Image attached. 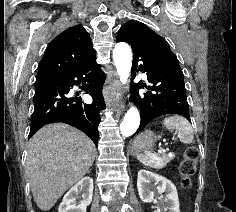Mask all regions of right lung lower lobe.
I'll use <instances>...</instances> for the list:
<instances>
[{
  "mask_svg": "<svg viewBox=\"0 0 236 212\" xmlns=\"http://www.w3.org/2000/svg\"><path fill=\"white\" fill-rule=\"evenodd\" d=\"M95 61L96 57L68 74L36 77L29 138L46 124L64 122L83 131L97 145L99 111L105 108L99 85L105 81V74ZM80 84L92 96L91 104L71 96L70 90Z\"/></svg>",
  "mask_w": 236,
  "mask_h": 212,
  "instance_id": "obj_1",
  "label": "right lung lower lobe"
}]
</instances>
